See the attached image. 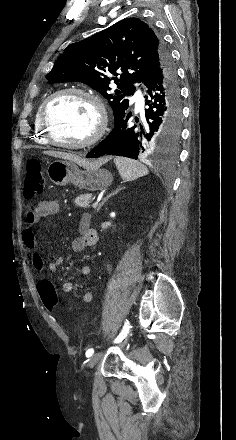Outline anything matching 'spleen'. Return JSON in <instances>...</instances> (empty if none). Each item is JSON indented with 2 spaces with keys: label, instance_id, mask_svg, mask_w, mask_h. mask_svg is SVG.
<instances>
[{
  "label": "spleen",
  "instance_id": "obj_1",
  "mask_svg": "<svg viewBox=\"0 0 236 440\" xmlns=\"http://www.w3.org/2000/svg\"><path fill=\"white\" fill-rule=\"evenodd\" d=\"M114 163L120 176L125 181H133L149 173L148 168L144 164L133 159L115 157Z\"/></svg>",
  "mask_w": 236,
  "mask_h": 440
}]
</instances>
